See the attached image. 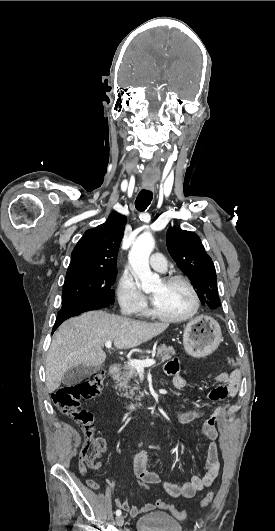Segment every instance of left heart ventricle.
<instances>
[{
	"label": "left heart ventricle",
	"mask_w": 275,
	"mask_h": 531,
	"mask_svg": "<svg viewBox=\"0 0 275 531\" xmlns=\"http://www.w3.org/2000/svg\"><path fill=\"white\" fill-rule=\"evenodd\" d=\"M150 293L156 309L165 316H183L191 310L193 305L189 290L181 283L160 281Z\"/></svg>",
	"instance_id": "1"
}]
</instances>
